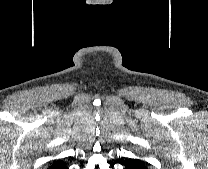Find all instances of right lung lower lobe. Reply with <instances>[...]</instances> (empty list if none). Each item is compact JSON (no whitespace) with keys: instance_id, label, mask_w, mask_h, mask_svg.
<instances>
[{"instance_id":"right-lung-lower-lobe-1","label":"right lung lower lobe","mask_w":208,"mask_h":169,"mask_svg":"<svg viewBox=\"0 0 208 169\" xmlns=\"http://www.w3.org/2000/svg\"><path fill=\"white\" fill-rule=\"evenodd\" d=\"M50 169H68V168L63 161L58 160V161L53 162Z\"/></svg>"}]
</instances>
